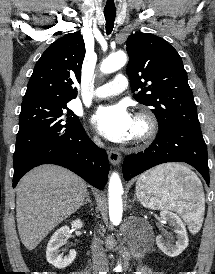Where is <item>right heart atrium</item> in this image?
Instances as JSON below:
<instances>
[{
    "mask_svg": "<svg viewBox=\"0 0 215 274\" xmlns=\"http://www.w3.org/2000/svg\"><path fill=\"white\" fill-rule=\"evenodd\" d=\"M92 140H93L94 144H96L97 146H102L103 145V142H102V140H101V138L98 134H95L92 137Z\"/></svg>",
    "mask_w": 215,
    "mask_h": 274,
    "instance_id": "obj_1",
    "label": "right heart atrium"
}]
</instances>
